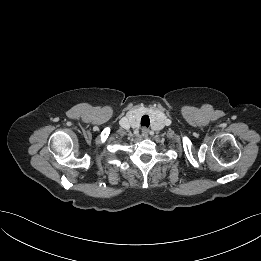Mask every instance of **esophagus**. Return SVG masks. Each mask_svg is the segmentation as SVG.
<instances>
[{
    "label": "esophagus",
    "instance_id": "obj_1",
    "mask_svg": "<svg viewBox=\"0 0 261 261\" xmlns=\"http://www.w3.org/2000/svg\"><path fill=\"white\" fill-rule=\"evenodd\" d=\"M141 133H142V136H143V137H148V135H149V129H147L146 127H144V128H142Z\"/></svg>",
    "mask_w": 261,
    "mask_h": 261
}]
</instances>
